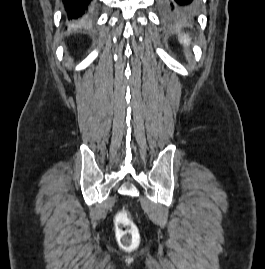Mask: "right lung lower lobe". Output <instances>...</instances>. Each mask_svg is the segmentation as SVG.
<instances>
[{
	"mask_svg": "<svg viewBox=\"0 0 265 269\" xmlns=\"http://www.w3.org/2000/svg\"><path fill=\"white\" fill-rule=\"evenodd\" d=\"M92 0H63L68 20L82 21L88 13Z\"/></svg>",
	"mask_w": 265,
	"mask_h": 269,
	"instance_id": "obj_1",
	"label": "right lung lower lobe"
}]
</instances>
